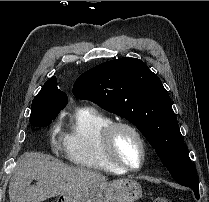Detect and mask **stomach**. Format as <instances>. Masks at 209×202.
Segmentation results:
<instances>
[{"mask_svg":"<svg viewBox=\"0 0 209 202\" xmlns=\"http://www.w3.org/2000/svg\"><path fill=\"white\" fill-rule=\"evenodd\" d=\"M142 197L141 185L132 179L98 182L60 195L56 202H135Z\"/></svg>","mask_w":209,"mask_h":202,"instance_id":"1","label":"stomach"}]
</instances>
